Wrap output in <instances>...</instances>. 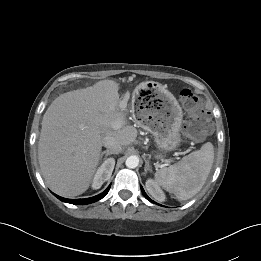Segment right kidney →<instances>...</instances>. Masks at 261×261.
<instances>
[{"label":"right kidney","instance_id":"ca27d5eb","mask_svg":"<svg viewBox=\"0 0 261 261\" xmlns=\"http://www.w3.org/2000/svg\"><path fill=\"white\" fill-rule=\"evenodd\" d=\"M114 166L115 160L113 158H109L102 163L94 176L92 183L93 189H99L105 181L110 179Z\"/></svg>","mask_w":261,"mask_h":261}]
</instances>
